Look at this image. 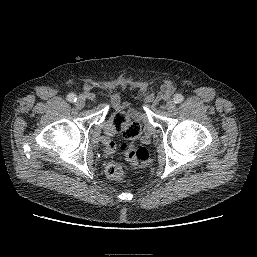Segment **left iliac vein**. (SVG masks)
<instances>
[{
	"label": "left iliac vein",
	"instance_id": "4c4485c4",
	"mask_svg": "<svg viewBox=\"0 0 257 257\" xmlns=\"http://www.w3.org/2000/svg\"><path fill=\"white\" fill-rule=\"evenodd\" d=\"M175 106H176L175 101H173V100H168V101L166 102L165 108H166L167 111L170 112V111L174 110Z\"/></svg>",
	"mask_w": 257,
	"mask_h": 257
}]
</instances>
